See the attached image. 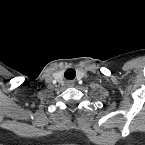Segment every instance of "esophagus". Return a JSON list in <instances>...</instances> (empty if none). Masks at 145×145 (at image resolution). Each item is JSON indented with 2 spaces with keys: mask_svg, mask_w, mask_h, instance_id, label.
I'll use <instances>...</instances> for the list:
<instances>
[{
  "mask_svg": "<svg viewBox=\"0 0 145 145\" xmlns=\"http://www.w3.org/2000/svg\"><path fill=\"white\" fill-rule=\"evenodd\" d=\"M68 84H73V83L70 81V82H68Z\"/></svg>",
  "mask_w": 145,
  "mask_h": 145,
  "instance_id": "34e87169",
  "label": "esophagus"
}]
</instances>
